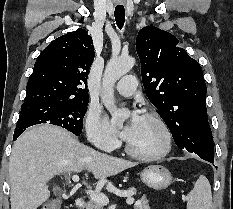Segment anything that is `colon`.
Segmentation results:
<instances>
[{
  "mask_svg": "<svg viewBox=\"0 0 233 209\" xmlns=\"http://www.w3.org/2000/svg\"><path fill=\"white\" fill-rule=\"evenodd\" d=\"M42 209H61V202L59 199H52L46 202Z\"/></svg>",
  "mask_w": 233,
  "mask_h": 209,
  "instance_id": "5ec220e1",
  "label": "colon"
}]
</instances>
